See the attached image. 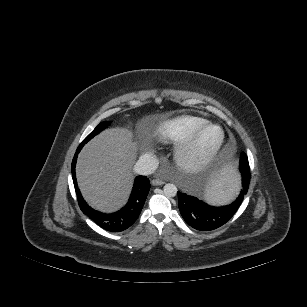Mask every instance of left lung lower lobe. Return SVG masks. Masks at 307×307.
<instances>
[{
	"mask_svg": "<svg viewBox=\"0 0 307 307\" xmlns=\"http://www.w3.org/2000/svg\"><path fill=\"white\" fill-rule=\"evenodd\" d=\"M242 189L237 199L227 206L213 207L189 193L178 191L179 210L188 225L200 231L214 230L228 222L240 207L250 183V167L247 155H240Z\"/></svg>",
	"mask_w": 307,
	"mask_h": 307,
	"instance_id": "0a47b994",
	"label": "left lung lower lobe"
}]
</instances>
